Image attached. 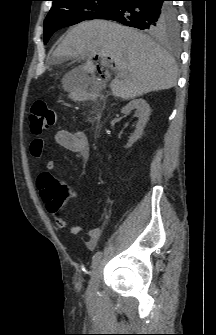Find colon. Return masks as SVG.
Instances as JSON below:
<instances>
[{"label": "colon", "mask_w": 216, "mask_h": 335, "mask_svg": "<svg viewBox=\"0 0 216 335\" xmlns=\"http://www.w3.org/2000/svg\"><path fill=\"white\" fill-rule=\"evenodd\" d=\"M56 122V113L55 111L50 108L46 102L44 101H38L36 102L30 113V123H31V130L34 133H42L52 126H54ZM46 199H49L51 197L55 196V190L53 187L51 188L49 193H46L45 195ZM60 202L57 201V205L60 206Z\"/></svg>", "instance_id": "colon-1"}]
</instances>
